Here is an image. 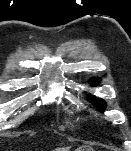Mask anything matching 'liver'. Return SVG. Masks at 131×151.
<instances>
[{
    "label": "liver",
    "instance_id": "liver-1",
    "mask_svg": "<svg viewBox=\"0 0 131 151\" xmlns=\"http://www.w3.org/2000/svg\"><path fill=\"white\" fill-rule=\"evenodd\" d=\"M58 151H67V148H61V149H57Z\"/></svg>",
    "mask_w": 131,
    "mask_h": 151
}]
</instances>
